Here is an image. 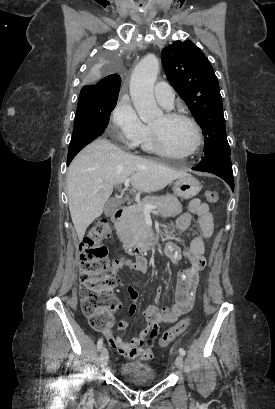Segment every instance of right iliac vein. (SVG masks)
I'll list each match as a JSON object with an SVG mask.
<instances>
[{
    "mask_svg": "<svg viewBox=\"0 0 275 409\" xmlns=\"http://www.w3.org/2000/svg\"><path fill=\"white\" fill-rule=\"evenodd\" d=\"M109 359V353L108 350L104 347L101 351L100 355V360H101V366L104 367L107 364V361Z\"/></svg>",
    "mask_w": 275,
    "mask_h": 409,
    "instance_id": "right-iliac-vein-1",
    "label": "right iliac vein"
}]
</instances>
